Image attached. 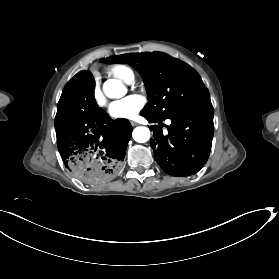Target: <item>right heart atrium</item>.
Wrapping results in <instances>:
<instances>
[{
  "label": "right heart atrium",
  "instance_id": "1",
  "mask_svg": "<svg viewBox=\"0 0 279 279\" xmlns=\"http://www.w3.org/2000/svg\"><path fill=\"white\" fill-rule=\"evenodd\" d=\"M93 97H94V100L100 104L101 103V100H102V93H101V90L100 88L96 85L93 89Z\"/></svg>",
  "mask_w": 279,
  "mask_h": 279
}]
</instances>
